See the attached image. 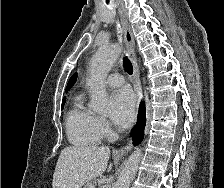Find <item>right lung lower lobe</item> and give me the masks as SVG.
Listing matches in <instances>:
<instances>
[{"mask_svg": "<svg viewBox=\"0 0 224 188\" xmlns=\"http://www.w3.org/2000/svg\"><path fill=\"white\" fill-rule=\"evenodd\" d=\"M145 124H146L145 105L144 102H142L139 107L138 121L132 133L134 145H138L142 141L144 136Z\"/></svg>", "mask_w": 224, "mask_h": 188, "instance_id": "right-lung-lower-lobe-1", "label": "right lung lower lobe"}]
</instances>
